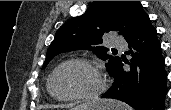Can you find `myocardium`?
<instances>
[{"label":"myocardium","mask_w":171,"mask_h":110,"mask_svg":"<svg viewBox=\"0 0 171 110\" xmlns=\"http://www.w3.org/2000/svg\"><path fill=\"white\" fill-rule=\"evenodd\" d=\"M70 64H80L84 65L91 70H93L96 75L99 78V86L98 88L91 92V93H86V94H76V95H71V96H59L57 95L54 90H53V80L57 72L63 68L66 65ZM107 88V79L104 73L101 71L99 67H97L95 64H93L91 61L86 60V59H80V58H73V59H68L66 61H63L60 63L50 74L47 82V89L50 95L59 101H77V100H83V101H90V100H95L99 98L106 90Z\"/></svg>","instance_id":"myocardium-1"}]
</instances>
